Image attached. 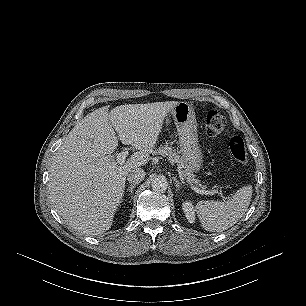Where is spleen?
I'll return each instance as SVG.
<instances>
[{
    "instance_id": "spleen-1",
    "label": "spleen",
    "mask_w": 306,
    "mask_h": 306,
    "mask_svg": "<svg viewBox=\"0 0 306 306\" xmlns=\"http://www.w3.org/2000/svg\"><path fill=\"white\" fill-rule=\"evenodd\" d=\"M252 186H243L227 201H200L195 210L202 227L210 232L229 229L245 214L252 197Z\"/></svg>"
}]
</instances>
